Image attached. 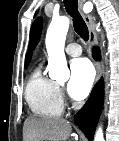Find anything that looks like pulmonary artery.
<instances>
[{
	"mask_svg": "<svg viewBox=\"0 0 119 141\" xmlns=\"http://www.w3.org/2000/svg\"><path fill=\"white\" fill-rule=\"evenodd\" d=\"M65 51L68 55L77 57L82 54V48L77 43H70L66 46Z\"/></svg>",
	"mask_w": 119,
	"mask_h": 141,
	"instance_id": "e3ab8cb5",
	"label": "pulmonary artery"
}]
</instances>
